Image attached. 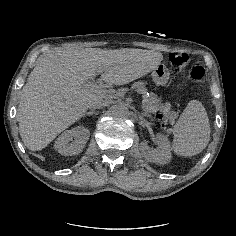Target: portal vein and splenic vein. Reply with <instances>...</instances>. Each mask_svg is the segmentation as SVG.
<instances>
[{"label": "portal vein and splenic vein", "mask_w": 236, "mask_h": 236, "mask_svg": "<svg viewBox=\"0 0 236 236\" xmlns=\"http://www.w3.org/2000/svg\"><path fill=\"white\" fill-rule=\"evenodd\" d=\"M103 87V83L98 84L97 81H95L93 78H91L85 85L84 88L90 89V88H96L99 90H102L101 88ZM120 92L118 91L117 93H114L113 95L115 97L120 96Z\"/></svg>", "instance_id": "obj_1"}]
</instances>
